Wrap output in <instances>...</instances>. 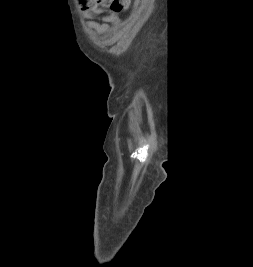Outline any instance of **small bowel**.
Returning a JSON list of instances; mask_svg holds the SVG:
<instances>
[{"instance_id":"1","label":"small bowel","mask_w":253,"mask_h":267,"mask_svg":"<svg viewBox=\"0 0 253 267\" xmlns=\"http://www.w3.org/2000/svg\"><path fill=\"white\" fill-rule=\"evenodd\" d=\"M119 23L118 17H112L111 23L90 21L87 24V28L91 34L94 33H106L111 29V25H117Z\"/></svg>"}]
</instances>
